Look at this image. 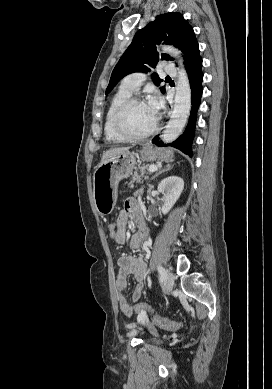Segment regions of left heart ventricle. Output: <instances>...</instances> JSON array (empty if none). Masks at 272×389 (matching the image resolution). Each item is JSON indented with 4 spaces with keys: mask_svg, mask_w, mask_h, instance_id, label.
I'll return each mask as SVG.
<instances>
[{
    "mask_svg": "<svg viewBox=\"0 0 272 389\" xmlns=\"http://www.w3.org/2000/svg\"><path fill=\"white\" fill-rule=\"evenodd\" d=\"M155 119L156 117L146 103L135 104L125 116V126L131 133L142 134L153 126Z\"/></svg>",
    "mask_w": 272,
    "mask_h": 389,
    "instance_id": "left-heart-ventricle-1",
    "label": "left heart ventricle"
}]
</instances>
